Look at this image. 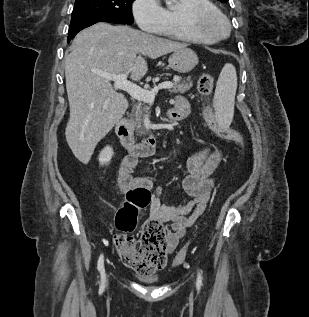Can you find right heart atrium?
Masks as SVG:
<instances>
[{
	"instance_id": "d8ad5b80",
	"label": "right heart atrium",
	"mask_w": 309,
	"mask_h": 317,
	"mask_svg": "<svg viewBox=\"0 0 309 317\" xmlns=\"http://www.w3.org/2000/svg\"><path fill=\"white\" fill-rule=\"evenodd\" d=\"M132 13L139 28L145 32L157 34L165 27L164 8L159 0H134Z\"/></svg>"
}]
</instances>
